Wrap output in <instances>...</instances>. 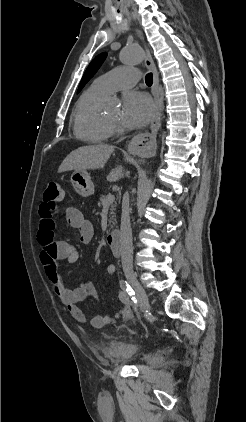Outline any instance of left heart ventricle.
Segmentation results:
<instances>
[{
  "label": "left heart ventricle",
  "mask_w": 246,
  "mask_h": 422,
  "mask_svg": "<svg viewBox=\"0 0 246 422\" xmlns=\"http://www.w3.org/2000/svg\"><path fill=\"white\" fill-rule=\"evenodd\" d=\"M118 115H119L118 112H114V113L108 115L107 118L110 121H116L118 119Z\"/></svg>",
  "instance_id": "b2bd125f"
}]
</instances>
